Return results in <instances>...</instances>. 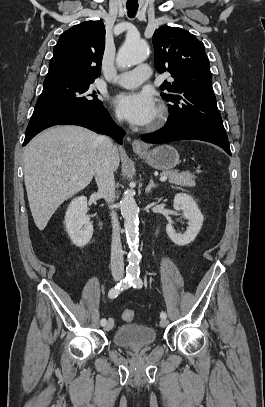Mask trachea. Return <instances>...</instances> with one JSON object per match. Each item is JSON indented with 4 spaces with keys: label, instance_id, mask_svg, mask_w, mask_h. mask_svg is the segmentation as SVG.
Returning <instances> with one entry per match:
<instances>
[{
    "label": "trachea",
    "instance_id": "trachea-1",
    "mask_svg": "<svg viewBox=\"0 0 265 407\" xmlns=\"http://www.w3.org/2000/svg\"><path fill=\"white\" fill-rule=\"evenodd\" d=\"M128 16L133 18L138 10V7H129L127 6Z\"/></svg>",
    "mask_w": 265,
    "mask_h": 407
}]
</instances>
